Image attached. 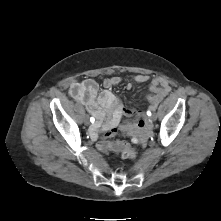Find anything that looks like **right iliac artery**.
I'll return each mask as SVG.
<instances>
[{
  "label": "right iliac artery",
  "instance_id": "right-iliac-artery-1",
  "mask_svg": "<svg viewBox=\"0 0 221 221\" xmlns=\"http://www.w3.org/2000/svg\"><path fill=\"white\" fill-rule=\"evenodd\" d=\"M95 119L93 117L90 118V122L94 123Z\"/></svg>",
  "mask_w": 221,
  "mask_h": 221
}]
</instances>
